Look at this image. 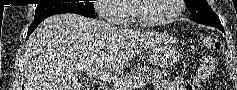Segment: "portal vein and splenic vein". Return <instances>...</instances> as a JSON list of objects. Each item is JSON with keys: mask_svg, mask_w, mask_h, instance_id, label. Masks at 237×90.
<instances>
[{"mask_svg": "<svg viewBox=\"0 0 237 90\" xmlns=\"http://www.w3.org/2000/svg\"><path fill=\"white\" fill-rule=\"evenodd\" d=\"M85 66H78L79 72H86L84 70ZM90 78H100V80H104V82H113L115 88L117 90H130V84H128L126 78H117V76H110V74H89ZM131 88H134L133 84H131Z\"/></svg>", "mask_w": 237, "mask_h": 90, "instance_id": "portal-vein-and-splenic-vein-1", "label": "portal vein and splenic vein"}]
</instances>
